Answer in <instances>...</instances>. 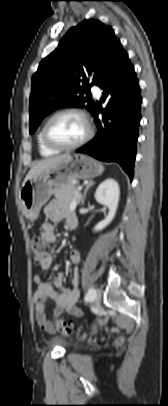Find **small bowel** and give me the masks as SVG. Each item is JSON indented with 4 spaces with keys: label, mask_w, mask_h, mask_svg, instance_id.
<instances>
[{
    "label": "small bowel",
    "mask_w": 168,
    "mask_h": 406,
    "mask_svg": "<svg viewBox=\"0 0 168 406\" xmlns=\"http://www.w3.org/2000/svg\"><path fill=\"white\" fill-rule=\"evenodd\" d=\"M45 215L49 222L42 225L40 237L50 244L58 242L55 230L56 226L62 220H65L69 226L70 222H77L75 212L64 206L60 201L53 200L45 208ZM69 260L73 269L72 286L64 288L62 286L64 273H57L49 283L44 282L42 275L36 273L33 276V282L37 285L34 294L35 318L39 326L47 332H54V327L47 317V303L52 300L55 302L54 317H60L64 311L73 316H81L82 310L77 306L79 298L77 266L81 261L79 251L72 250ZM53 256L51 255L44 263L40 264L42 270H48L52 266Z\"/></svg>",
    "instance_id": "1"
}]
</instances>
